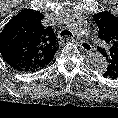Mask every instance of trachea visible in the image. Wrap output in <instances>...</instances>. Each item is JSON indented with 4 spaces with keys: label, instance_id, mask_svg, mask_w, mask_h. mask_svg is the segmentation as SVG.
Segmentation results:
<instances>
[{
    "label": "trachea",
    "instance_id": "trachea-1",
    "mask_svg": "<svg viewBox=\"0 0 118 118\" xmlns=\"http://www.w3.org/2000/svg\"><path fill=\"white\" fill-rule=\"evenodd\" d=\"M60 36L61 37H65V36H72L73 37V34L68 31V30H63L61 33H60Z\"/></svg>",
    "mask_w": 118,
    "mask_h": 118
}]
</instances>
